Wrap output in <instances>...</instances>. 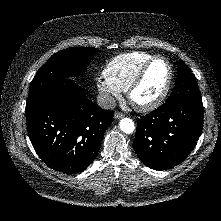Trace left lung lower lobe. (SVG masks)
<instances>
[{
	"label": "left lung lower lobe",
	"mask_w": 221,
	"mask_h": 221,
	"mask_svg": "<svg viewBox=\"0 0 221 221\" xmlns=\"http://www.w3.org/2000/svg\"><path fill=\"white\" fill-rule=\"evenodd\" d=\"M203 113L202 103L176 100L142 116L133 142L138 158L156 170L181 163L201 135Z\"/></svg>",
	"instance_id": "obj_1"
}]
</instances>
